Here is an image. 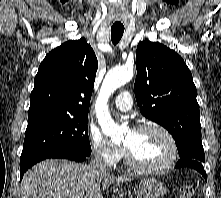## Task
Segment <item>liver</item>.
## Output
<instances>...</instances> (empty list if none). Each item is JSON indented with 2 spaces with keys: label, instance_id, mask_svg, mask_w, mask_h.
Returning <instances> with one entry per match:
<instances>
[{
  "label": "liver",
  "instance_id": "liver-1",
  "mask_svg": "<svg viewBox=\"0 0 221 198\" xmlns=\"http://www.w3.org/2000/svg\"><path fill=\"white\" fill-rule=\"evenodd\" d=\"M129 178L66 160L49 159L27 171L21 182V198H103L107 187Z\"/></svg>",
  "mask_w": 221,
  "mask_h": 198
}]
</instances>
